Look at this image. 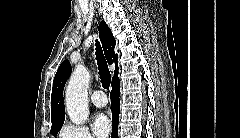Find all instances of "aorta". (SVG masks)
<instances>
[{
    "label": "aorta",
    "instance_id": "obj_1",
    "mask_svg": "<svg viewBox=\"0 0 240 138\" xmlns=\"http://www.w3.org/2000/svg\"><path fill=\"white\" fill-rule=\"evenodd\" d=\"M89 81V71L79 65L72 73L66 89V110L70 120L76 125L83 124L89 116Z\"/></svg>",
    "mask_w": 240,
    "mask_h": 138
}]
</instances>
